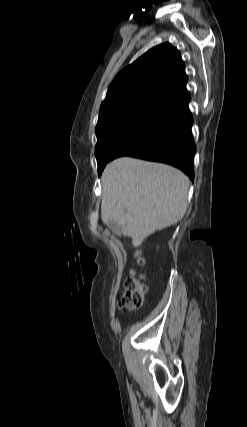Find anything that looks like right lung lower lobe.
<instances>
[{
  "label": "right lung lower lobe",
  "instance_id": "1",
  "mask_svg": "<svg viewBox=\"0 0 247 427\" xmlns=\"http://www.w3.org/2000/svg\"><path fill=\"white\" fill-rule=\"evenodd\" d=\"M189 101L190 94L185 91L158 106L124 138L109 161L132 156L163 162L194 179L196 146L191 133Z\"/></svg>",
  "mask_w": 247,
  "mask_h": 427
}]
</instances>
